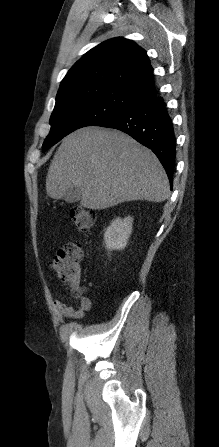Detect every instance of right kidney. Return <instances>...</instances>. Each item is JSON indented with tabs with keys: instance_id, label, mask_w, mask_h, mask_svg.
Listing matches in <instances>:
<instances>
[{
	"instance_id": "1",
	"label": "right kidney",
	"mask_w": 219,
	"mask_h": 447,
	"mask_svg": "<svg viewBox=\"0 0 219 447\" xmlns=\"http://www.w3.org/2000/svg\"><path fill=\"white\" fill-rule=\"evenodd\" d=\"M133 218L128 216L124 219L116 218L104 233V242L107 249L121 250L127 245L128 238L132 232Z\"/></svg>"
}]
</instances>
